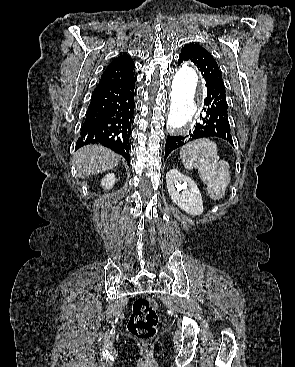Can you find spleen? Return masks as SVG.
<instances>
[{
  "mask_svg": "<svg viewBox=\"0 0 295 367\" xmlns=\"http://www.w3.org/2000/svg\"><path fill=\"white\" fill-rule=\"evenodd\" d=\"M180 159L187 170L197 168L212 200L223 198L231 179L230 166L227 161L220 160L215 142L207 138L189 142L181 147Z\"/></svg>",
  "mask_w": 295,
  "mask_h": 367,
  "instance_id": "spleen-1",
  "label": "spleen"
}]
</instances>
